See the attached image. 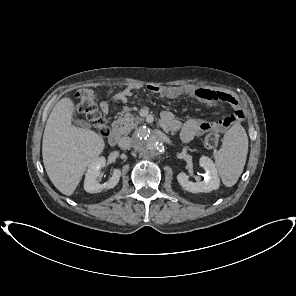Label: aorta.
Here are the masks:
<instances>
[{"mask_svg": "<svg viewBox=\"0 0 296 296\" xmlns=\"http://www.w3.org/2000/svg\"><path fill=\"white\" fill-rule=\"evenodd\" d=\"M133 145L136 150L147 156H155L162 151L160 140L147 127H142L135 133Z\"/></svg>", "mask_w": 296, "mask_h": 296, "instance_id": "aorta-1", "label": "aorta"}]
</instances>
